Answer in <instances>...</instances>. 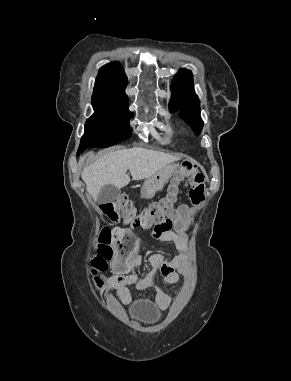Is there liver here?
<instances>
[{"instance_id": "liver-1", "label": "liver", "mask_w": 291, "mask_h": 381, "mask_svg": "<svg viewBox=\"0 0 291 381\" xmlns=\"http://www.w3.org/2000/svg\"><path fill=\"white\" fill-rule=\"evenodd\" d=\"M178 159L171 154L140 147L121 149L85 167L81 177L88 193L96 201L103 186L111 184L120 189L128 185L130 177L127 170L133 180L147 179Z\"/></svg>"}]
</instances>
